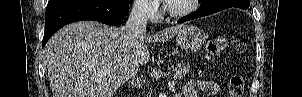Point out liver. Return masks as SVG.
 <instances>
[{
	"label": "liver",
	"mask_w": 302,
	"mask_h": 97,
	"mask_svg": "<svg viewBox=\"0 0 302 97\" xmlns=\"http://www.w3.org/2000/svg\"><path fill=\"white\" fill-rule=\"evenodd\" d=\"M181 26L156 34H127L95 21L66 25L47 42L44 59L53 97H112L150 58L147 44L174 37ZM110 69L104 73V70Z\"/></svg>",
	"instance_id": "liver-1"
}]
</instances>
